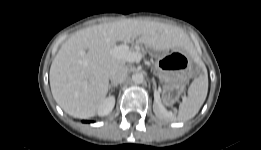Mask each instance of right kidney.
Here are the masks:
<instances>
[{
  "label": "right kidney",
  "instance_id": "ca27d5eb",
  "mask_svg": "<svg viewBox=\"0 0 261 150\" xmlns=\"http://www.w3.org/2000/svg\"><path fill=\"white\" fill-rule=\"evenodd\" d=\"M114 105H115V97L109 96L100 105L99 110H98V115L99 116L108 115L113 110Z\"/></svg>",
  "mask_w": 261,
  "mask_h": 150
}]
</instances>
